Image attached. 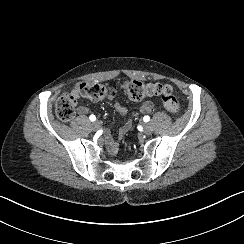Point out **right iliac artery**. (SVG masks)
Wrapping results in <instances>:
<instances>
[{"instance_id":"82829eb1","label":"right iliac artery","mask_w":244,"mask_h":244,"mask_svg":"<svg viewBox=\"0 0 244 244\" xmlns=\"http://www.w3.org/2000/svg\"><path fill=\"white\" fill-rule=\"evenodd\" d=\"M89 119H90L91 121H95V120H96V117H95L94 115H90Z\"/></svg>"}]
</instances>
